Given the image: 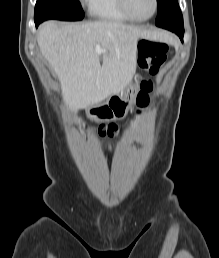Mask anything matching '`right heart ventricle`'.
<instances>
[{"instance_id":"right-heart-ventricle-1","label":"right heart ventricle","mask_w":219,"mask_h":258,"mask_svg":"<svg viewBox=\"0 0 219 258\" xmlns=\"http://www.w3.org/2000/svg\"><path fill=\"white\" fill-rule=\"evenodd\" d=\"M90 11L101 20L114 22L130 21L121 11L118 0H93L90 5Z\"/></svg>"}]
</instances>
